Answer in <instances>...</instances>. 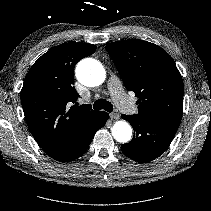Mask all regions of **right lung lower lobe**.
<instances>
[{
    "label": "right lung lower lobe",
    "instance_id": "obj_1",
    "mask_svg": "<svg viewBox=\"0 0 211 211\" xmlns=\"http://www.w3.org/2000/svg\"><path fill=\"white\" fill-rule=\"evenodd\" d=\"M108 118V113L100 111L84 123L62 148L49 156L60 162L77 159L88 149L95 132L105 125Z\"/></svg>",
    "mask_w": 211,
    "mask_h": 211
}]
</instances>
